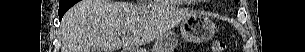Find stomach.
I'll return each mask as SVG.
<instances>
[{
  "label": "stomach",
  "instance_id": "obj_1",
  "mask_svg": "<svg viewBox=\"0 0 305 52\" xmlns=\"http://www.w3.org/2000/svg\"><path fill=\"white\" fill-rule=\"evenodd\" d=\"M180 32L185 41L200 43L207 41L214 35L215 25L212 20L203 15L192 14L181 22ZM177 45V35L173 32H169L157 39L155 47L151 52H173Z\"/></svg>",
  "mask_w": 305,
  "mask_h": 52
}]
</instances>
